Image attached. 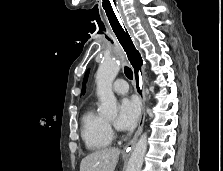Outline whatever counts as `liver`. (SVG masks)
<instances>
[{
  "label": "liver",
  "instance_id": "liver-1",
  "mask_svg": "<svg viewBox=\"0 0 223 171\" xmlns=\"http://www.w3.org/2000/svg\"><path fill=\"white\" fill-rule=\"evenodd\" d=\"M119 153L118 148L97 150L81 161L80 171H114Z\"/></svg>",
  "mask_w": 223,
  "mask_h": 171
}]
</instances>
